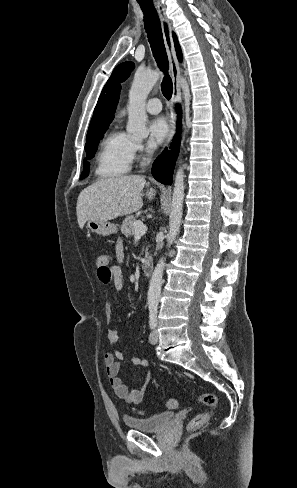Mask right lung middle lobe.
Here are the masks:
<instances>
[{"label": "right lung middle lobe", "instance_id": "obj_1", "mask_svg": "<svg viewBox=\"0 0 297 488\" xmlns=\"http://www.w3.org/2000/svg\"><path fill=\"white\" fill-rule=\"evenodd\" d=\"M110 123L101 125L95 128L91 133H89L86 137V144H85V151L87 154V158L90 159L94 156L95 151L97 149V145L99 140L103 137L107 127ZM89 163L84 161V168L81 174L80 179L85 178L89 174Z\"/></svg>", "mask_w": 297, "mask_h": 488}]
</instances>
